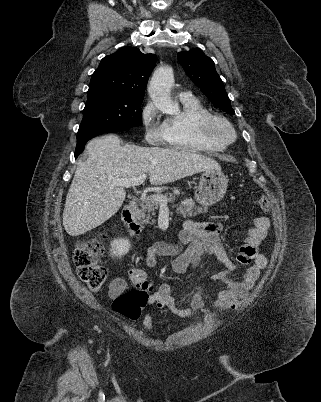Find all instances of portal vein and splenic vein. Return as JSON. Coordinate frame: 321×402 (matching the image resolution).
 <instances>
[{
	"mask_svg": "<svg viewBox=\"0 0 321 402\" xmlns=\"http://www.w3.org/2000/svg\"><path fill=\"white\" fill-rule=\"evenodd\" d=\"M147 175L141 174L138 177H134V178H130V179H124V178H116V179H112L110 180L111 184L114 186H121V187H125V188H129L131 186H138L141 185L145 179H146ZM151 197H154L155 200L160 204V207H167V203L171 202V199H167V198H162L158 195H152Z\"/></svg>",
	"mask_w": 321,
	"mask_h": 402,
	"instance_id": "obj_1",
	"label": "portal vein and splenic vein"
}]
</instances>
